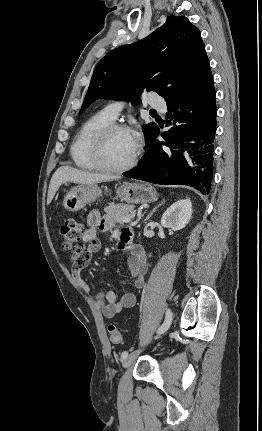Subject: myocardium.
<instances>
[{"label":"myocardium","instance_id":"f54148a6","mask_svg":"<svg viewBox=\"0 0 262 431\" xmlns=\"http://www.w3.org/2000/svg\"><path fill=\"white\" fill-rule=\"evenodd\" d=\"M120 131L129 133L131 132L130 128L126 125L112 123L101 129L95 136L93 142L92 157L95 164L101 171L108 173H122L133 168L138 161L141 149L137 146L133 156L126 164L122 166H111L110 164H108L105 157L106 142L113 133Z\"/></svg>","mask_w":262,"mask_h":431}]
</instances>
